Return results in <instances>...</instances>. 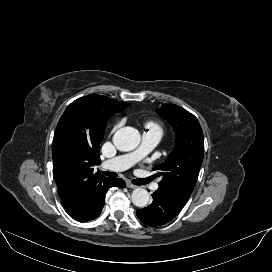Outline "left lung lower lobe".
Masks as SVG:
<instances>
[{
  "label": "left lung lower lobe",
  "instance_id": "left-lung-lower-lobe-1",
  "mask_svg": "<svg viewBox=\"0 0 272 272\" xmlns=\"http://www.w3.org/2000/svg\"><path fill=\"white\" fill-rule=\"evenodd\" d=\"M152 196L151 205L136 211L138 218L149 226L166 224L184 207L183 204L160 190H156Z\"/></svg>",
  "mask_w": 272,
  "mask_h": 272
}]
</instances>
